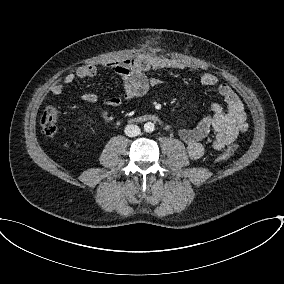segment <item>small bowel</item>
<instances>
[{
	"label": "small bowel",
	"instance_id": "c3829d8e",
	"mask_svg": "<svg viewBox=\"0 0 284 284\" xmlns=\"http://www.w3.org/2000/svg\"><path fill=\"white\" fill-rule=\"evenodd\" d=\"M106 67L111 73L119 76L123 82V93L104 101L105 105L116 107L144 96L151 87L161 84V80L149 77L148 71L180 68V64L165 58L141 55L108 64ZM96 74L97 68L94 65H82L65 75L61 81L53 84L51 92L54 95H60L64 87L76 79H90ZM200 82L203 86L216 88L226 103V107L219 103H212L209 106V113L194 128H182L179 131V136L185 143L191 159L202 157L207 145H211L217 151H222L248 129L243 102L229 85L221 83L216 75L207 72L200 75ZM81 100L84 103L93 104L97 102L98 96L94 91H87L81 96Z\"/></svg>",
	"mask_w": 284,
	"mask_h": 284
}]
</instances>
